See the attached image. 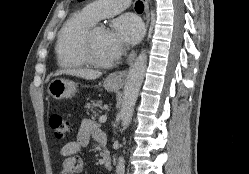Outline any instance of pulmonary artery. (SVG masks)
Returning a JSON list of instances; mask_svg holds the SVG:
<instances>
[{"label": "pulmonary artery", "mask_w": 249, "mask_h": 174, "mask_svg": "<svg viewBox=\"0 0 249 174\" xmlns=\"http://www.w3.org/2000/svg\"><path fill=\"white\" fill-rule=\"evenodd\" d=\"M129 6V0H96L89 3L84 11L95 21L113 16Z\"/></svg>", "instance_id": "e3ab8cb5"}]
</instances>
